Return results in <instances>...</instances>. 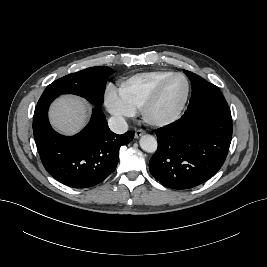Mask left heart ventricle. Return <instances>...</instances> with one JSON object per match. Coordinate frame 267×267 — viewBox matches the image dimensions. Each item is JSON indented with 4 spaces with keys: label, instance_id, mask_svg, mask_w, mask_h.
Masks as SVG:
<instances>
[{
    "label": "left heart ventricle",
    "instance_id": "b2bd125f",
    "mask_svg": "<svg viewBox=\"0 0 267 267\" xmlns=\"http://www.w3.org/2000/svg\"><path fill=\"white\" fill-rule=\"evenodd\" d=\"M186 91V83L180 77L173 78L165 86L157 104L153 108L154 116L172 113L181 103Z\"/></svg>",
    "mask_w": 267,
    "mask_h": 267
}]
</instances>
